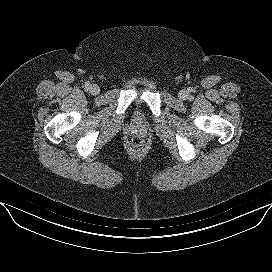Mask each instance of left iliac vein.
I'll use <instances>...</instances> for the list:
<instances>
[{
	"label": "left iliac vein",
	"mask_w": 272,
	"mask_h": 272,
	"mask_svg": "<svg viewBox=\"0 0 272 272\" xmlns=\"http://www.w3.org/2000/svg\"><path fill=\"white\" fill-rule=\"evenodd\" d=\"M178 96L180 99L185 100L188 97V92L186 90H181Z\"/></svg>",
	"instance_id": "1"
}]
</instances>
